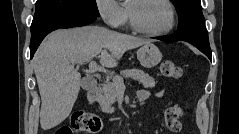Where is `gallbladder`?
Masks as SVG:
<instances>
[{"label":"gallbladder","mask_w":239,"mask_h":134,"mask_svg":"<svg viewBox=\"0 0 239 134\" xmlns=\"http://www.w3.org/2000/svg\"><path fill=\"white\" fill-rule=\"evenodd\" d=\"M94 84H95V82L92 81V80H90V79H88V78H85V79H83V81H82V87H83L85 90H88V89L92 88Z\"/></svg>","instance_id":"bac80fb5"}]
</instances>
